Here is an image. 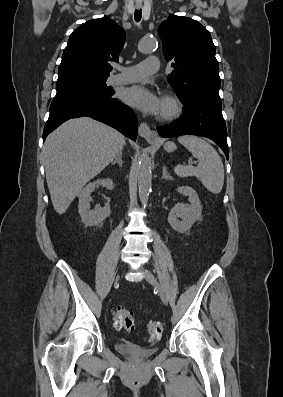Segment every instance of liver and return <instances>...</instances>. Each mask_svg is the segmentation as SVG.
Segmentation results:
<instances>
[{
  "label": "liver",
  "instance_id": "6515ba94",
  "mask_svg": "<svg viewBox=\"0 0 283 397\" xmlns=\"http://www.w3.org/2000/svg\"><path fill=\"white\" fill-rule=\"evenodd\" d=\"M124 145L121 133L89 117L68 120L52 132L43 155L55 211L65 213L83 186L112 162Z\"/></svg>",
  "mask_w": 283,
  "mask_h": 397
}]
</instances>
